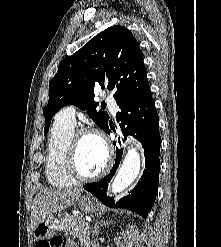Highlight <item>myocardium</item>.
Returning <instances> with one entry per match:
<instances>
[{"label":"myocardium","mask_w":221,"mask_h":247,"mask_svg":"<svg viewBox=\"0 0 221 247\" xmlns=\"http://www.w3.org/2000/svg\"><path fill=\"white\" fill-rule=\"evenodd\" d=\"M85 135H92L97 137L102 142L106 151V162L103 168L94 175L83 174L78 166V160H77L78 146L81 137ZM113 160H114L113 148L110 142L107 140V138L100 131L90 128H80L74 130L67 153V167L69 173L73 178H75L77 181L80 182H91V181L99 180L109 172V170L113 165Z\"/></svg>","instance_id":"myocardium-1"}]
</instances>
